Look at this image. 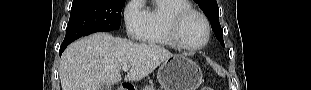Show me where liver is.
Masks as SVG:
<instances>
[{
    "instance_id": "obj_1",
    "label": "liver",
    "mask_w": 311,
    "mask_h": 90,
    "mask_svg": "<svg viewBox=\"0 0 311 90\" xmlns=\"http://www.w3.org/2000/svg\"><path fill=\"white\" fill-rule=\"evenodd\" d=\"M173 54L155 44H139L95 33L70 44L62 54V90H99L102 84L120 82L121 69L130 66L126 81H139Z\"/></svg>"
}]
</instances>
